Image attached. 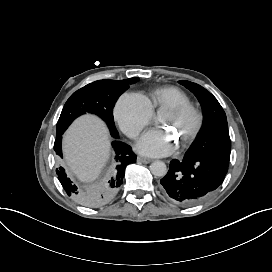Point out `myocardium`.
Masks as SVG:
<instances>
[{"instance_id":"1","label":"myocardium","mask_w":272,"mask_h":272,"mask_svg":"<svg viewBox=\"0 0 272 272\" xmlns=\"http://www.w3.org/2000/svg\"><path fill=\"white\" fill-rule=\"evenodd\" d=\"M168 111L178 114L184 120V140L190 139L199 128L201 116L199 112L187 104H172Z\"/></svg>"}]
</instances>
